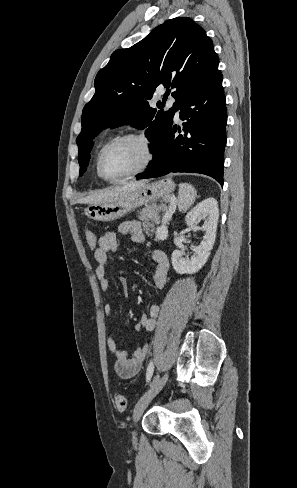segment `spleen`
I'll return each instance as SVG.
<instances>
[{
    "label": "spleen",
    "mask_w": 297,
    "mask_h": 488,
    "mask_svg": "<svg viewBox=\"0 0 297 488\" xmlns=\"http://www.w3.org/2000/svg\"><path fill=\"white\" fill-rule=\"evenodd\" d=\"M196 195V190L190 184H180L178 195L179 210L186 211L194 203Z\"/></svg>",
    "instance_id": "obj_1"
}]
</instances>
